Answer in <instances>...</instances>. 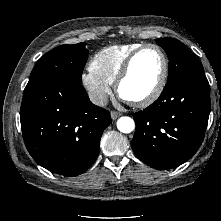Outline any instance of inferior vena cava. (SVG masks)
<instances>
[{
	"instance_id": "inferior-vena-cava-1",
	"label": "inferior vena cava",
	"mask_w": 221,
	"mask_h": 221,
	"mask_svg": "<svg viewBox=\"0 0 221 221\" xmlns=\"http://www.w3.org/2000/svg\"><path fill=\"white\" fill-rule=\"evenodd\" d=\"M89 98L91 102L95 105L104 107L108 102V96L105 92L94 91L89 93Z\"/></svg>"
}]
</instances>
